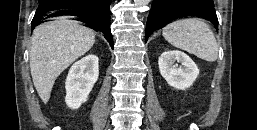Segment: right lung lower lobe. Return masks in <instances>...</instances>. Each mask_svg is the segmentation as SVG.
<instances>
[{"instance_id":"right-lung-lower-lobe-1","label":"right lung lower lobe","mask_w":257,"mask_h":130,"mask_svg":"<svg viewBox=\"0 0 257 130\" xmlns=\"http://www.w3.org/2000/svg\"><path fill=\"white\" fill-rule=\"evenodd\" d=\"M111 0L61 1L40 0L32 20V29L45 22L47 18L72 15L89 28L104 33V37L113 48V38L110 30Z\"/></svg>"}]
</instances>
